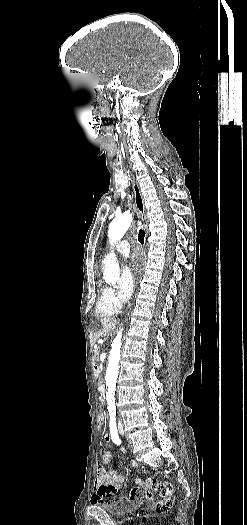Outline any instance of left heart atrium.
<instances>
[{
    "label": "left heart atrium",
    "mask_w": 247,
    "mask_h": 525,
    "mask_svg": "<svg viewBox=\"0 0 247 525\" xmlns=\"http://www.w3.org/2000/svg\"><path fill=\"white\" fill-rule=\"evenodd\" d=\"M146 266L145 254L140 250H135L129 264L122 270V293L124 298H128L132 293L136 277H139Z\"/></svg>",
    "instance_id": "39dd6f15"
}]
</instances>
